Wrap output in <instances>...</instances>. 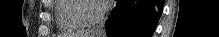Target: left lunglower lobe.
Segmentation results:
<instances>
[{"label": "left lung lower lobe", "instance_id": "1", "mask_svg": "<svg viewBox=\"0 0 219 37\" xmlns=\"http://www.w3.org/2000/svg\"><path fill=\"white\" fill-rule=\"evenodd\" d=\"M163 5L164 0H117L106 21L108 37H151Z\"/></svg>", "mask_w": 219, "mask_h": 37}]
</instances>
